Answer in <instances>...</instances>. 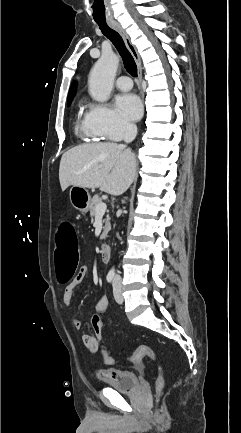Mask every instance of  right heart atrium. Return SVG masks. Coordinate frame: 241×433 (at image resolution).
Here are the masks:
<instances>
[{"instance_id":"d8ad5b80","label":"right heart atrium","mask_w":241,"mask_h":433,"mask_svg":"<svg viewBox=\"0 0 241 433\" xmlns=\"http://www.w3.org/2000/svg\"><path fill=\"white\" fill-rule=\"evenodd\" d=\"M90 130L105 139L116 140L132 132L133 126L106 104H91L86 113Z\"/></svg>"}]
</instances>
